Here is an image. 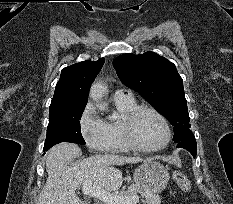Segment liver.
Returning a JSON list of instances; mask_svg holds the SVG:
<instances>
[{
	"label": "liver",
	"mask_w": 233,
	"mask_h": 204,
	"mask_svg": "<svg viewBox=\"0 0 233 204\" xmlns=\"http://www.w3.org/2000/svg\"><path fill=\"white\" fill-rule=\"evenodd\" d=\"M81 155L73 143H60L51 148L46 157L48 178L36 204H82L75 191L90 180L94 187L117 191L123 183L122 173L114 165L135 164L149 160L114 154L94 155L75 165L68 164Z\"/></svg>",
	"instance_id": "obj_1"
}]
</instances>
